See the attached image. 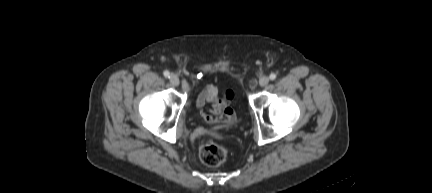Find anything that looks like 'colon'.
<instances>
[{"label": "colon", "instance_id": "colon-1", "mask_svg": "<svg viewBox=\"0 0 432 193\" xmlns=\"http://www.w3.org/2000/svg\"><path fill=\"white\" fill-rule=\"evenodd\" d=\"M233 98V92L227 91L224 100L229 102ZM201 160L208 166L214 167L224 163L228 157V148L215 141L204 143L199 151Z\"/></svg>", "mask_w": 432, "mask_h": 193}]
</instances>
